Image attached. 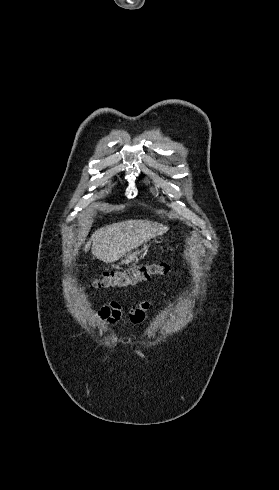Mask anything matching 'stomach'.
Masks as SVG:
<instances>
[{
  "instance_id": "stomach-1",
  "label": "stomach",
  "mask_w": 279,
  "mask_h": 490,
  "mask_svg": "<svg viewBox=\"0 0 279 490\" xmlns=\"http://www.w3.org/2000/svg\"><path fill=\"white\" fill-rule=\"evenodd\" d=\"M148 246H144L143 250H136V252H129L127 256H125L124 260H122L121 264H133V262H137L139 260L138 256L142 254V252H147Z\"/></svg>"
}]
</instances>
